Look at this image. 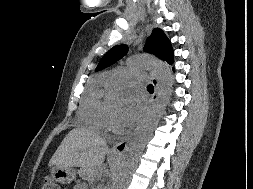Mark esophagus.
Listing matches in <instances>:
<instances>
[{
  "label": "esophagus",
  "mask_w": 253,
  "mask_h": 189,
  "mask_svg": "<svg viewBox=\"0 0 253 189\" xmlns=\"http://www.w3.org/2000/svg\"><path fill=\"white\" fill-rule=\"evenodd\" d=\"M149 75L151 77V80H152V83L154 85V93L151 97V102L152 104H155L157 99H158V91H159V84H158V80L157 78L151 73L149 72ZM139 128H137L135 130L134 133H132L130 136H128L127 138H125L124 140H122L121 142L117 143L111 150V153L113 155H122L126 149H127V146L129 144V142L131 141L133 135L136 133V131L138 130Z\"/></svg>",
  "instance_id": "34e87169"
}]
</instances>
